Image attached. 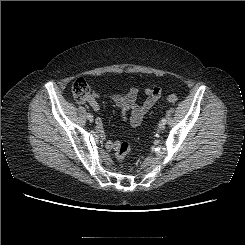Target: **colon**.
Instances as JSON below:
<instances>
[{"label": "colon", "mask_w": 245, "mask_h": 245, "mask_svg": "<svg viewBox=\"0 0 245 245\" xmlns=\"http://www.w3.org/2000/svg\"><path fill=\"white\" fill-rule=\"evenodd\" d=\"M73 97L78 101H85L90 96V85L82 77L77 78L71 87ZM178 100L176 95H170L167 97L168 103H175ZM131 151V146L128 142H120L116 146V157L119 161H124Z\"/></svg>", "instance_id": "obj_1"}]
</instances>
